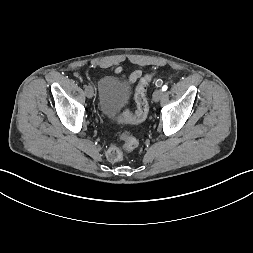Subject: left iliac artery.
I'll use <instances>...</instances> for the list:
<instances>
[{"label":"left iliac artery","mask_w":253,"mask_h":253,"mask_svg":"<svg viewBox=\"0 0 253 253\" xmlns=\"http://www.w3.org/2000/svg\"><path fill=\"white\" fill-rule=\"evenodd\" d=\"M167 85H164L163 87H162V91H166L167 90Z\"/></svg>","instance_id":"1"}]
</instances>
